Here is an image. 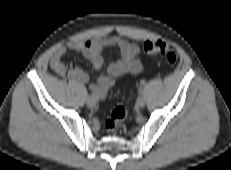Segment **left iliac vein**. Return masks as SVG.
I'll return each instance as SVG.
<instances>
[{
	"label": "left iliac vein",
	"mask_w": 231,
	"mask_h": 170,
	"mask_svg": "<svg viewBox=\"0 0 231 170\" xmlns=\"http://www.w3.org/2000/svg\"><path fill=\"white\" fill-rule=\"evenodd\" d=\"M136 106L139 108H143L145 106V100L143 97H139L137 99Z\"/></svg>",
	"instance_id": "obj_1"
}]
</instances>
